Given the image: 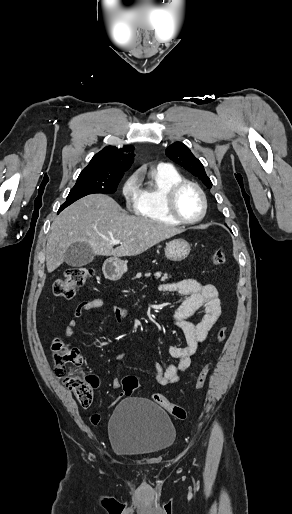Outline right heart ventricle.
<instances>
[{
  "instance_id": "e07e8e85",
  "label": "right heart ventricle",
  "mask_w": 292,
  "mask_h": 514,
  "mask_svg": "<svg viewBox=\"0 0 292 514\" xmlns=\"http://www.w3.org/2000/svg\"><path fill=\"white\" fill-rule=\"evenodd\" d=\"M150 180L152 184L140 188L139 199L132 209L133 213L159 223L175 225L164 210L162 195L167 188L182 180L181 175L175 170L155 169L150 173Z\"/></svg>"
}]
</instances>
